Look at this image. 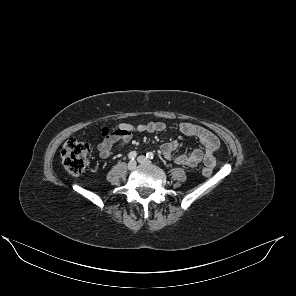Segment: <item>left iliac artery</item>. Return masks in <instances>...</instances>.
Instances as JSON below:
<instances>
[{
  "label": "left iliac artery",
  "mask_w": 296,
  "mask_h": 296,
  "mask_svg": "<svg viewBox=\"0 0 296 296\" xmlns=\"http://www.w3.org/2000/svg\"><path fill=\"white\" fill-rule=\"evenodd\" d=\"M146 157L149 158V159H153L154 158V154L152 152H148L146 154Z\"/></svg>",
  "instance_id": "44dca946"
}]
</instances>
